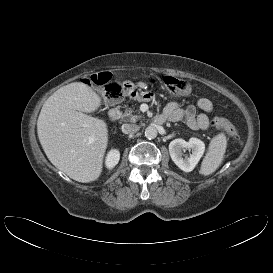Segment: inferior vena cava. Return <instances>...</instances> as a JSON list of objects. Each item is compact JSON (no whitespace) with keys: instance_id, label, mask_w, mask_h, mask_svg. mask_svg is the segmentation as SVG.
Wrapping results in <instances>:
<instances>
[{"instance_id":"inferior-vena-cava-1","label":"inferior vena cava","mask_w":273,"mask_h":273,"mask_svg":"<svg viewBox=\"0 0 273 273\" xmlns=\"http://www.w3.org/2000/svg\"><path fill=\"white\" fill-rule=\"evenodd\" d=\"M140 130V127L136 124H123L122 132L125 134H135Z\"/></svg>"}]
</instances>
